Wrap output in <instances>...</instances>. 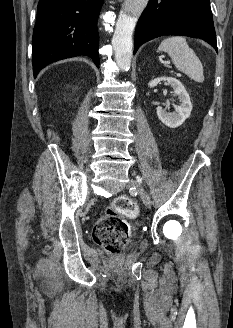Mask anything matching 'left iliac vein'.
Masks as SVG:
<instances>
[{
    "mask_svg": "<svg viewBox=\"0 0 233 328\" xmlns=\"http://www.w3.org/2000/svg\"><path fill=\"white\" fill-rule=\"evenodd\" d=\"M129 185L131 187H133L138 192V194L141 197L144 205L146 207L150 208L151 205H152L151 198L148 195V193L145 191V189L143 188V186L141 184V178L137 176L135 179H132L130 181Z\"/></svg>",
    "mask_w": 233,
    "mask_h": 328,
    "instance_id": "4c4485c4",
    "label": "left iliac vein"
}]
</instances>
